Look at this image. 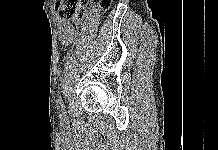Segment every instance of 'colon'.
I'll return each mask as SVG.
<instances>
[{
	"label": "colon",
	"mask_w": 218,
	"mask_h": 150,
	"mask_svg": "<svg viewBox=\"0 0 218 150\" xmlns=\"http://www.w3.org/2000/svg\"><path fill=\"white\" fill-rule=\"evenodd\" d=\"M111 0H101V6L107 8ZM88 0H58L56 9L59 14L68 21L74 29H77L79 23L84 17Z\"/></svg>",
	"instance_id": "5ec220e1"
}]
</instances>
